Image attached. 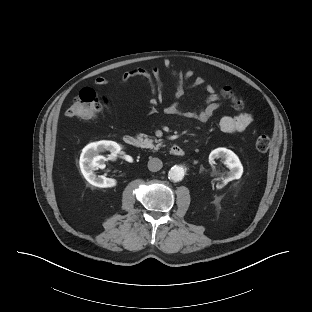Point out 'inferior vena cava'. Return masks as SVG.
Masks as SVG:
<instances>
[{"label":"inferior vena cava","mask_w":312,"mask_h":312,"mask_svg":"<svg viewBox=\"0 0 312 312\" xmlns=\"http://www.w3.org/2000/svg\"><path fill=\"white\" fill-rule=\"evenodd\" d=\"M163 167V163L159 158H150L148 161V169L152 172H157Z\"/></svg>","instance_id":"602c4592"}]
</instances>
